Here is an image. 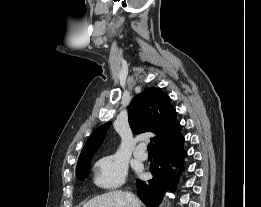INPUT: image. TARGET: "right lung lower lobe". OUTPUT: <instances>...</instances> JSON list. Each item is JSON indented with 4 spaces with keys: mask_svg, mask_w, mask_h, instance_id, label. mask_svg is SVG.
<instances>
[{
    "mask_svg": "<svg viewBox=\"0 0 261 207\" xmlns=\"http://www.w3.org/2000/svg\"><path fill=\"white\" fill-rule=\"evenodd\" d=\"M184 137L155 149L150 171L153 178L148 181H136L139 198L147 207H158L163 194L176 189L179 173L183 170V159L187 153L183 149ZM177 165L179 172L172 170L171 166Z\"/></svg>",
    "mask_w": 261,
    "mask_h": 207,
    "instance_id": "98d812e1",
    "label": "right lung lower lobe"
}]
</instances>
